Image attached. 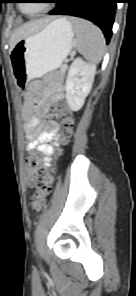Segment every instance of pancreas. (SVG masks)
I'll list each match as a JSON object with an SVG mask.
<instances>
[{
    "mask_svg": "<svg viewBox=\"0 0 136 296\" xmlns=\"http://www.w3.org/2000/svg\"><path fill=\"white\" fill-rule=\"evenodd\" d=\"M65 70H66V69H64V70L61 71V73H60V77H61V78H63L64 73H65Z\"/></svg>",
    "mask_w": 136,
    "mask_h": 296,
    "instance_id": "pancreas-1",
    "label": "pancreas"
}]
</instances>
